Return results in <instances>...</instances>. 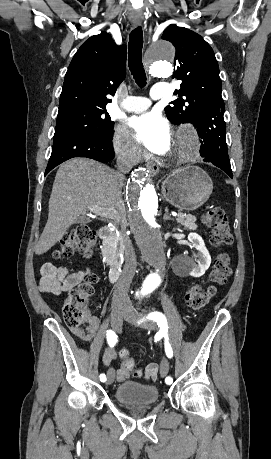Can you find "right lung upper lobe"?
<instances>
[{
    "label": "right lung upper lobe",
    "instance_id": "cb5924a9",
    "mask_svg": "<svg viewBox=\"0 0 271 459\" xmlns=\"http://www.w3.org/2000/svg\"><path fill=\"white\" fill-rule=\"evenodd\" d=\"M126 46L108 33L90 37L74 55L65 75L59 112L79 108L106 109L126 75Z\"/></svg>",
    "mask_w": 271,
    "mask_h": 459
}]
</instances>
